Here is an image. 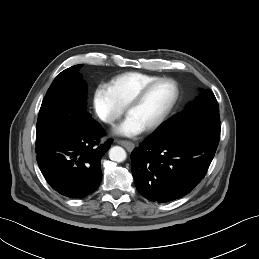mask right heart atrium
<instances>
[{
	"mask_svg": "<svg viewBox=\"0 0 259 259\" xmlns=\"http://www.w3.org/2000/svg\"><path fill=\"white\" fill-rule=\"evenodd\" d=\"M93 108L96 116L107 124H113L124 112L105 86H98L94 90Z\"/></svg>",
	"mask_w": 259,
	"mask_h": 259,
	"instance_id": "1",
	"label": "right heart atrium"
}]
</instances>
